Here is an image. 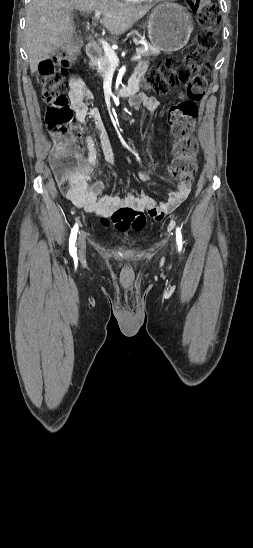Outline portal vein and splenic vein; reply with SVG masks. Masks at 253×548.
Masks as SVG:
<instances>
[{
    "label": "portal vein and splenic vein",
    "instance_id": "portal-vein-and-splenic-vein-1",
    "mask_svg": "<svg viewBox=\"0 0 253 548\" xmlns=\"http://www.w3.org/2000/svg\"><path fill=\"white\" fill-rule=\"evenodd\" d=\"M101 14H102L101 11H95V17L94 18L98 19L101 16ZM100 44L102 45V48H103L105 54L107 55L110 63L114 66L118 65L119 64V59H118L115 51L110 47V45L107 43V41L101 39ZM141 57L142 56L140 54H137V55L132 57V60H134V61L140 60Z\"/></svg>",
    "mask_w": 253,
    "mask_h": 548
}]
</instances>
